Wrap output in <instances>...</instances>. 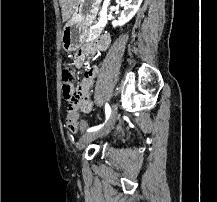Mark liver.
Returning a JSON list of instances; mask_svg holds the SVG:
<instances>
[{
  "instance_id": "6515ba94",
  "label": "liver",
  "mask_w": 217,
  "mask_h": 202,
  "mask_svg": "<svg viewBox=\"0 0 217 202\" xmlns=\"http://www.w3.org/2000/svg\"><path fill=\"white\" fill-rule=\"evenodd\" d=\"M62 10V22H66L72 16L78 0H59Z\"/></svg>"
}]
</instances>
